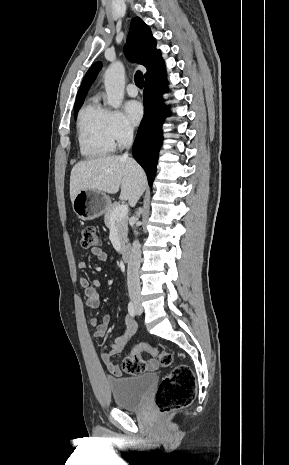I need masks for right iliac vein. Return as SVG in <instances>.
<instances>
[{
    "label": "right iliac vein",
    "instance_id": "1",
    "mask_svg": "<svg viewBox=\"0 0 289 465\" xmlns=\"http://www.w3.org/2000/svg\"><path fill=\"white\" fill-rule=\"evenodd\" d=\"M135 305L138 311H142L138 300H135Z\"/></svg>",
    "mask_w": 289,
    "mask_h": 465
}]
</instances>
